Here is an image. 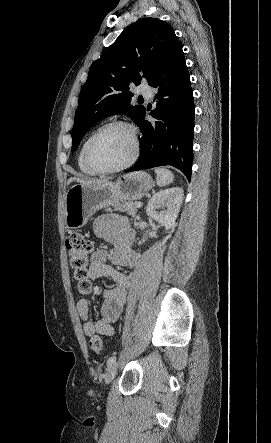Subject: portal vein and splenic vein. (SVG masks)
Returning <instances> with one entry per match:
<instances>
[{
    "mask_svg": "<svg viewBox=\"0 0 271 443\" xmlns=\"http://www.w3.org/2000/svg\"><path fill=\"white\" fill-rule=\"evenodd\" d=\"M135 206H136V208H141L142 204H141V202H136Z\"/></svg>",
    "mask_w": 271,
    "mask_h": 443,
    "instance_id": "18ae733b",
    "label": "portal vein and splenic vein"
}]
</instances>
